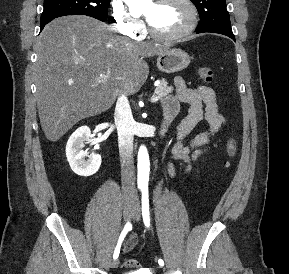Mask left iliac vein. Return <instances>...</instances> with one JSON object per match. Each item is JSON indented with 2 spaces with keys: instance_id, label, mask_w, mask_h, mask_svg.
<instances>
[{
  "instance_id": "obj_1",
  "label": "left iliac vein",
  "mask_w": 289,
  "mask_h": 274,
  "mask_svg": "<svg viewBox=\"0 0 289 274\" xmlns=\"http://www.w3.org/2000/svg\"><path fill=\"white\" fill-rule=\"evenodd\" d=\"M132 218L135 221H139V219H140V204H139V201L137 199L134 202Z\"/></svg>"
}]
</instances>
